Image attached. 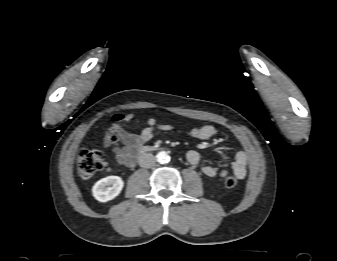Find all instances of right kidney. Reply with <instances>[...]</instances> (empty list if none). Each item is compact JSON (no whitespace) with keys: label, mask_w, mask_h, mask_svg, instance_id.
Wrapping results in <instances>:
<instances>
[{"label":"right kidney","mask_w":337,"mask_h":261,"mask_svg":"<svg viewBox=\"0 0 337 261\" xmlns=\"http://www.w3.org/2000/svg\"><path fill=\"white\" fill-rule=\"evenodd\" d=\"M123 186L124 182L120 177L107 176L94 184L92 193L98 201L107 202L117 197Z\"/></svg>","instance_id":"ca27d5eb"}]
</instances>
